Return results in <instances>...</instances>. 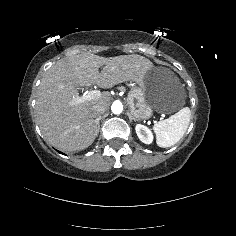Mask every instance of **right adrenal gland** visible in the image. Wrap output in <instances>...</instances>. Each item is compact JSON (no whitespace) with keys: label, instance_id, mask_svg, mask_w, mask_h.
I'll return each mask as SVG.
<instances>
[{"label":"right adrenal gland","instance_id":"1","mask_svg":"<svg viewBox=\"0 0 236 236\" xmlns=\"http://www.w3.org/2000/svg\"><path fill=\"white\" fill-rule=\"evenodd\" d=\"M99 120H101V117L99 118ZM99 120H98V122H96L97 123L96 136L98 135L99 129H100V122H99Z\"/></svg>","mask_w":236,"mask_h":236}]
</instances>
